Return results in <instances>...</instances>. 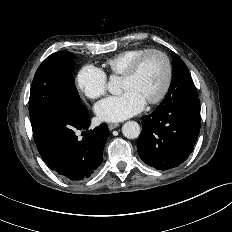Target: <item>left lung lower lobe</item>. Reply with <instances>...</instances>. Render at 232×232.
<instances>
[{"label": "left lung lower lobe", "mask_w": 232, "mask_h": 232, "mask_svg": "<svg viewBox=\"0 0 232 232\" xmlns=\"http://www.w3.org/2000/svg\"><path fill=\"white\" fill-rule=\"evenodd\" d=\"M200 126L198 97L181 96L162 102L142 117L137 143L140 158L162 171L182 164L193 151Z\"/></svg>", "instance_id": "left-lung-lower-lobe-1"}]
</instances>
